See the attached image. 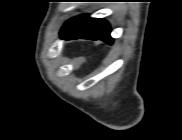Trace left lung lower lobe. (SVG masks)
<instances>
[{
    "mask_svg": "<svg viewBox=\"0 0 182 140\" xmlns=\"http://www.w3.org/2000/svg\"><path fill=\"white\" fill-rule=\"evenodd\" d=\"M110 31V26L105 20L86 17L74 28L61 35V37L67 40L79 38L102 40L112 44L113 38L110 36Z\"/></svg>",
    "mask_w": 182,
    "mask_h": 140,
    "instance_id": "1",
    "label": "left lung lower lobe"
}]
</instances>
